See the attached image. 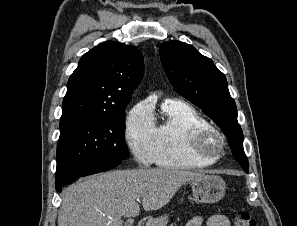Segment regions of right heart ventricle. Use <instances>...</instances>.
<instances>
[{"label": "right heart ventricle", "mask_w": 297, "mask_h": 226, "mask_svg": "<svg viewBox=\"0 0 297 226\" xmlns=\"http://www.w3.org/2000/svg\"><path fill=\"white\" fill-rule=\"evenodd\" d=\"M160 114V119L154 121L155 163L158 166L198 169L214 163L200 159L190 151L189 139L192 133L197 128L210 125L200 112L187 102L169 99L162 103Z\"/></svg>", "instance_id": "right-heart-ventricle-1"}]
</instances>
